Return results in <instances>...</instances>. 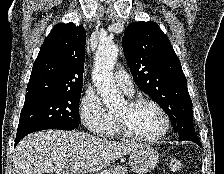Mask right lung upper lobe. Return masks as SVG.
Wrapping results in <instances>:
<instances>
[{"mask_svg": "<svg viewBox=\"0 0 224 174\" xmlns=\"http://www.w3.org/2000/svg\"><path fill=\"white\" fill-rule=\"evenodd\" d=\"M85 44L83 26L56 24L33 64L26 95L82 90Z\"/></svg>", "mask_w": 224, "mask_h": 174, "instance_id": "right-lung-upper-lobe-1", "label": "right lung upper lobe"}]
</instances>
